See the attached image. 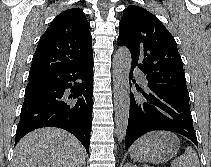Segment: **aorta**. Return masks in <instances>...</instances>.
<instances>
[{"mask_svg":"<svg viewBox=\"0 0 211 167\" xmlns=\"http://www.w3.org/2000/svg\"><path fill=\"white\" fill-rule=\"evenodd\" d=\"M130 67V51L127 47H120L113 58L114 111L116 134L119 142L124 140L128 126Z\"/></svg>","mask_w":211,"mask_h":167,"instance_id":"762f6f07","label":"aorta"}]
</instances>
